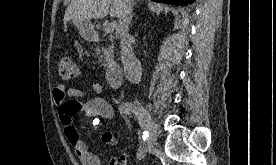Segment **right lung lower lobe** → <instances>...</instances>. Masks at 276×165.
<instances>
[{
  "label": "right lung lower lobe",
  "instance_id": "1",
  "mask_svg": "<svg viewBox=\"0 0 276 165\" xmlns=\"http://www.w3.org/2000/svg\"><path fill=\"white\" fill-rule=\"evenodd\" d=\"M153 1L160 2V3H168V4L186 6L188 4L193 3L195 0H153Z\"/></svg>",
  "mask_w": 276,
  "mask_h": 165
}]
</instances>
